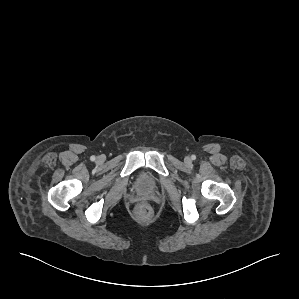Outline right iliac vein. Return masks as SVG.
Wrapping results in <instances>:
<instances>
[{
    "label": "right iliac vein",
    "mask_w": 299,
    "mask_h": 299,
    "mask_svg": "<svg viewBox=\"0 0 299 299\" xmlns=\"http://www.w3.org/2000/svg\"><path fill=\"white\" fill-rule=\"evenodd\" d=\"M101 160H102V159L99 157V158H98V161H101Z\"/></svg>",
    "instance_id": "63e3f726"
}]
</instances>
